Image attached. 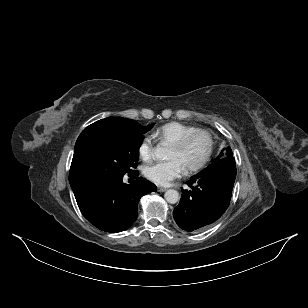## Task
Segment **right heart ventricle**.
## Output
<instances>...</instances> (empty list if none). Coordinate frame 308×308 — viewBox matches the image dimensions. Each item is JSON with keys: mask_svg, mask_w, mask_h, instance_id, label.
<instances>
[{"mask_svg": "<svg viewBox=\"0 0 308 308\" xmlns=\"http://www.w3.org/2000/svg\"><path fill=\"white\" fill-rule=\"evenodd\" d=\"M196 129L198 128L193 125L172 121L155 129L153 137L160 143L172 145L180 140L184 135Z\"/></svg>", "mask_w": 308, "mask_h": 308, "instance_id": "e07e8e85", "label": "right heart ventricle"}]
</instances>
